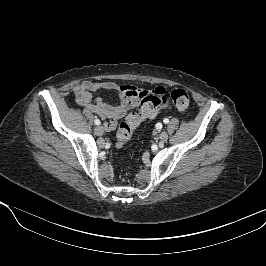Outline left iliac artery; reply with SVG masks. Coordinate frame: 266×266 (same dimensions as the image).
<instances>
[{
    "mask_svg": "<svg viewBox=\"0 0 266 266\" xmlns=\"http://www.w3.org/2000/svg\"><path fill=\"white\" fill-rule=\"evenodd\" d=\"M163 122H164L165 124H167V123L169 122V120H168L167 118H165V119L163 120Z\"/></svg>",
    "mask_w": 266,
    "mask_h": 266,
    "instance_id": "1",
    "label": "left iliac artery"
}]
</instances>
